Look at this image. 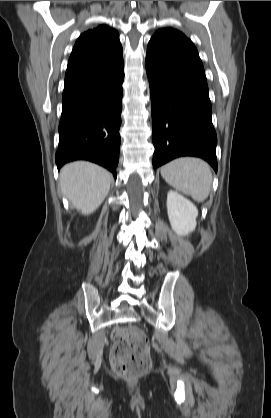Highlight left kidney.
I'll return each mask as SVG.
<instances>
[{"mask_svg": "<svg viewBox=\"0 0 271 418\" xmlns=\"http://www.w3.org/2000/svg\"><path fill=\"white\" fill-rule=\"evenodd\" d=\"M167 213L173 231L186 236L196 228L197 207L181 194L170 190L167 194Z\"/></svg>", "mask_w": 271, "mask_h": 418, "instance_id": "1", "label": "left kidney"}]
</instances>
